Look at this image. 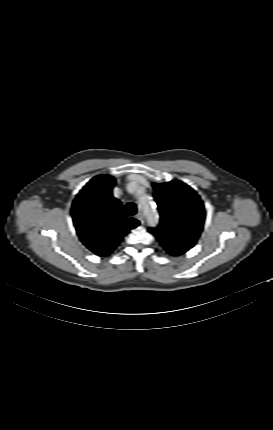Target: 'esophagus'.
Listing matches in <instances>:
<instances>
[{
  "instance_id": "1",
  "label": "esophagus",
  "mask_w": 273,
  "mask_h": 430,
  "mask_svg": "<svg viewBox=\"0 0 273 430\" xmlns=\"http://www.w3.org/2000/svg\"><path fill=\"white\" fill-rule=\"evenodd\" d=\"M136 218L143 224L144 223V216L142 213H138L136 215Z\"/></svg>"
}]
</instances>
